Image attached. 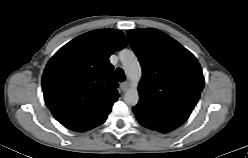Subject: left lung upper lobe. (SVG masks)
Returning a JSON list of instances; mask_svg holds the SVG:
<instances>
[{"label": "left lung upper lobe", "instance_id": "left-lung-upper-lobe-1", "mask_svg": "<svg viewBox=\"0 0 248 158\" xmlns=\"http://www.w3.org/2000/svg\"><path fill=\"white\" fill-rule=\"evenodd\" d=\"M132 49L142 66L137 118L167 133L190 116L204 87L202 69L194 55L164 32L128 31Z\"/></svg>", "mask_w": 248, "mask_h": 158}]
</instances>
